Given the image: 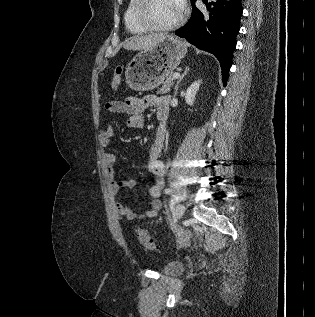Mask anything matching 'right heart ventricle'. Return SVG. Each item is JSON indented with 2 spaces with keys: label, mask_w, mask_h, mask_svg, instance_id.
<instances>
[{
  "label": "right heart ventricle",
  "mask_w": 315,
  "mask_h": 317,
  "mask_svg": "<svg viewBox=\"0 0 315 317\" xmlns=\"http://www.w3.org/2000/svg\"><path fill=\"white\" fill-rule=\"evenodd\" d=\"M139 2L140 0H129L124 13L125 26L132 34H143L147 31V29L141 26L137 21L136 11Z\"/></svg>",
  "instance_id": "e07e8e85"
}]
</instances>
